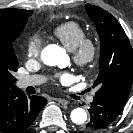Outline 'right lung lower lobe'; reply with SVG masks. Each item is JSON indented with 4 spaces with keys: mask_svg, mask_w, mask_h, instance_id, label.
I'll list each match as a JSON object with an SVG mask.
<instances>
[{
    "mask_svg": "<svg viewBox=\"0 0 133 133\" xmlns=\"http://www.w3.org/2000/svg\"><path fill=\"white\" fill-rule=\"evenodd\" d=\"M47 100L39 96L27 98L17 89L0 101V132L18 133L27 129L46 105Z\"/></svg>",
    "mask_w": 133,
    "mask_h": 133,
    "instance_id": "obj_1",
    "label": "right lung lower lobe"
}]
</instances>
